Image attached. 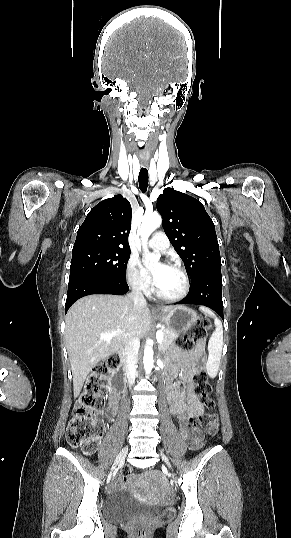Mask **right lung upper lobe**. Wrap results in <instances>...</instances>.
Listing matches in <instances>:
<instances>
[{
    "label": "right lung upper lobe",
    "mask_w": 291,
    "mask_h": 538,
    "mask_svg": "<svg viewBox=\"0 0 291 538\" xmlns=\"http://www.w3.org/2000/svg\"><path fill=\"white\" fill-rule=\"evenodd\" d=\"M131 218V205L122 195L101 201L87 214L78 229L73 250L89 246L130 249Z\"/></svg>",
    "instance_id": "obj_1"
}]
</instances>
